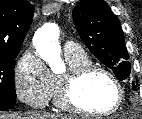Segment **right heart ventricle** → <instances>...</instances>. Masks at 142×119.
Here are the masks:
<instances>
[{
	"instance_id": "e07e8e85",
	"label": "right heart ventricle",
	"mask_w": 142,
	"mask_h": 119,
	"mask_svg": "<svg viewBox=\"0 0 142 119\" xmlns=\"http://www.w3.org/2000/svg\"><path fill=\"white\" fill-rule=\"evenodd\" d=\"M66 61L68 63L69 69H75L78 67H82L85 65L91 64V61L87 54L84 51H81L76 54H65ZM53 87H52V97L53 101L56 105L57 104V93H58V78L53 76Z\"/></svg>"
}]
</instances>
